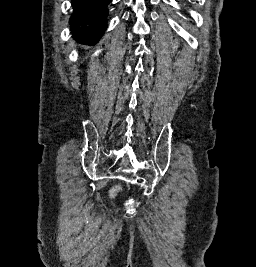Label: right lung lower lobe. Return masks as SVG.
Returning <instances> with one entry per match:
<instances>
[{"label":"right lung lower lobe","instance_id":"98d812e1","mask_svg":"<svg viewBox=\"0 0 256 267\" xmlns=\"http://www.w3.org/2000/svg\"><path fill=\"white\" fill-rule=\"evenodd\" d=\"M73 37L79 43L94 45L105 31L111 0H71Z\"/></svg>","mask_w":256,"mask_h":267}]
</instances>
